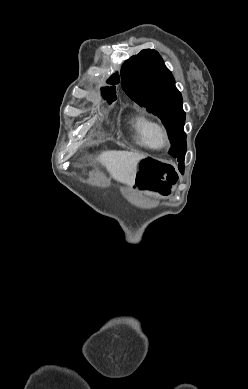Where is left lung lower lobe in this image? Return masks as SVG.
I'll return each instance as SVG.
<instances>
[{"mask_svg": "<svg viewBox=\"0 0 248 389\" xmlns=\"http://www.w3.org/2000/svg\"><path fill=\"white\" fill-rule=\"evenodd\" d=\"M178 168H179L180 172L183 173L184 172V163L180 162L178 165Z\"/></svg>", "mask_w": 248, "mask_h": 389, "instance_id": "0a47b994", "label": "left lung lower lobe"}]
</instances>
